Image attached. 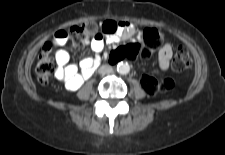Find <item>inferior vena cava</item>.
I'll list each match as a JSON object with an SVG mask.
<instances>
[{
  "label": "inferior vena cava",
  "instance_id": "inferior-vena-cava-1",
  "mask_svg": "<svg viewBox=\"0 0 225 155\" xmlns=\"http://www.w3.org/2000/svg\"><path fill=\"white\" fill-rule=\"evenodd\" d=\"M113 71V69H112V67L110 66V65H102L100 68H99V70H98V72L100 73V74H109V73H111Z\"/></svg>",
  "mask_w": 225,
  "mask_h": 155
}]
</instances>
